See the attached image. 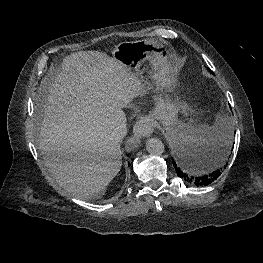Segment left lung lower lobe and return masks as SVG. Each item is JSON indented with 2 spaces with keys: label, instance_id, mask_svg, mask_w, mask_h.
Instances as JSON below:
<instances>
[{
  "label": "left lung lower lobe",
  "instance_id": "0a47b994",
  "mask_svg": "<svg viewBox=\"0 0 263 263\" xmlns=\"http://www.w3.org/2000/svg\"><path fill=\"white\" fill-rule=\"evenodd\" d=\"M230 150V147L228 148ZM178 158L173 160V165L177 175L182 180L196 187H205L213 183L222 173V168L203 171L199 165L203 153L183 152L177 150ZM220 167V166H219Z\"/></svg>",
  "mask_w": 263,
  "mask_h": 263
}]
</instances>
